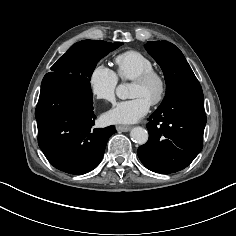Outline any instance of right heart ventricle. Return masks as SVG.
<instances>
[{"label":"right heart ventricle","mask_w":236,"mask_h":236,"mask_svg":"<svg viewBox=\"0 0 236 236\" xmlns=\"http://www.w3.org/2000/svg\"><path fill=\"white\" fill-rule=\"evenodd\" d=\"M114 61L117 74L122 80H133L142 72L154 68L153 61L137 50L122 52L115 57Z\"/></svg>","instance_id":"obj_1"}]
</instances>
